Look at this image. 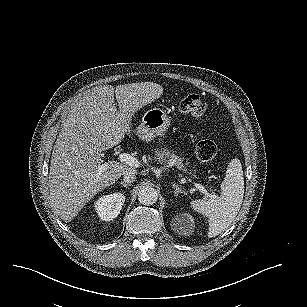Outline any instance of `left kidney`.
Masks as SVG:
<instances>
[{"label":"left kidney","mask_w":307,"mask_h":307,"mask_svg":"<svg viewBox=\"0 0 307 307\" xmlns=\"http://www.w3.org/2000/svg\"><path fill=\"white\" fill-rule=\"evenodd\" d=\"M173 231L178 236H191L195 232V218L189 212L182 211L174 216Z\"/></svg>","instance_id":"obj_1"}]
</instances>
